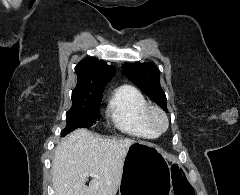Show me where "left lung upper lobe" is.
I'll use <instances>...</instances> for the list:
<instances>
[{
	"label": "left lung upper lobe",
	"mask_w": 240,
	"mask_h": 195,
	"mask_svg": "<svg viewBox=\"0 0 240 195\" xmlns=\"http://www.w3.org/2000/svg\"><path fill=\"white\" fill-rule=\"evenodd\" d=\"M122 69L129 80L167 111V99L159 81V70L152 63H125Z\"/></svg>",
	"instance_id": "obj_1"
}]
</instances>
